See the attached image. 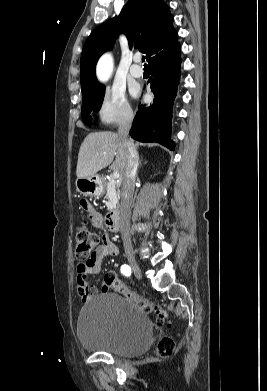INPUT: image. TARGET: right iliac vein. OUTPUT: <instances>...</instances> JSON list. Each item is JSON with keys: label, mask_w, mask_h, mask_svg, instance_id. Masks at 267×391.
Instances as JSON below:
<instances>
[{"label": "right iliac vein", "mask_w": 267, "mask_h": 391, "mask_svg": "<svg viewBox=\"0 0 267 391\" xmlns=\"http://www.w3.org/2000/svg\"><path fill=\"white\" fill-rule=\"evenodd\" d=\"M128 260H129V263H130V266H131V269L134 273V275L138 278V279H141L142 278V271L140 269V266L138 265V263L136 262L135 258L133 256H129L128 257Z\"/></svg>", "instance_id": "right-iliac-vein-1"}]
</instances>
